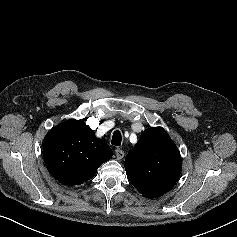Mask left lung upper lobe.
I'll use <instances>...</instances> for the list:
<instances>
[{"label": "left lung upper lobe", "instance_id": "1", "mask_svg": "<svg viewBox=\"0 0 237 237\" xmlns=\"http://www.w3.org/2000/svg\"><path fill=\"white\" fill-rule=\"evenodd\" d=\"M127 178L147 198L167 193L181 173L180 153L161 127L146 129L125 158Z\"/></svg>", "mask_w": 237, "mask_h": 237}]
</instances>
